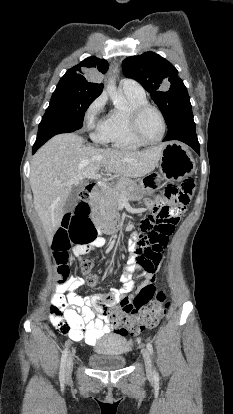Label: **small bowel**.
I'll return each instance as SVG.
<instances>
[{"mask_svg":"<svg viewBox=\"0 0 233 414\" xmlns=\"http://www.w3.org/2000/svg\"><path fill=\"white\" fill-rule=\"evenodd\" d=\"M159 203L162 205L163 201L159 200ZM171 210L175 218V225L185 212L186 206H173ZM104 244L105 239L98 236L87 249L74 247L73 253L75 256H80L88 249L100 248ZM135 248V243H131L130 247L127 248L130 256L120 277L122 286L118 288L113 283L109 287L113 294L112 303H117L124 298L131 299L132 297L129 295L131 292L137 294L156 279V271L149 272L137 265L134 259ZM136 270H140L141 276L144 278L138 284L132 280V274ZM65 281L61 288L55 289V292L60 294L53 297L49 320L59 333L68 336L71 340L77 342L83 340L88 345H95L105 333L111 330V327L105 321L109 314L108 306L102 301H98L102 297L101 295H90L88 293V296H80L74 292V290L78 291L86 286V278L83 274H79V271H69V277Z\"/></svg>","mask_w":233,"mask_h":414,"instance_id":"small-bowel-1","label":"small bowel"}]
</instances>
